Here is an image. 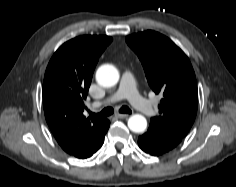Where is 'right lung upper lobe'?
Here are the masks:
<instances>
[{
	"mask_svg": "<svg viewBox=\"0 0 236 187\" xmlns=\"http://www.w3.org/2000/svg\"><path fill=\"white\" fill-rule=\"evenodd\" d=\"M109 36H79L51 58L43 81L45 118L62 149L77 158L93 155L103 144L107 119H86L84 103L99 56Z\"/></svg>",
	"mask_w": 236,
	"mask_h": 187,
	"instance_id": "obj_1",
	"label": "right lung upper lobe"
}]
</instances>
